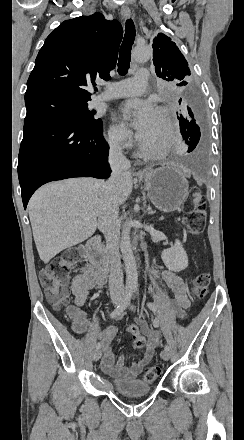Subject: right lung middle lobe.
I'll list each match as a JSON object with an SVG mask.
<instances>
[{
    "instance_id": "obj_1",
    "label": "right lung middle lobe",
    "mask_w": 244,
    "mask_h": 440,
    "mask_svg": "<svg viewBox=\"0 0 244 440\" xmlns=\"http://www.w3.org/2000/svg\"><path fill=\"white\" fill-rule=\"evenodd\" d=\"M90 98H74L61 95H43L25 99L27 113L43 112L57 115L73 123L92 126L101 119H95L88 110Z\"/></svg>"
}]
</instances>
